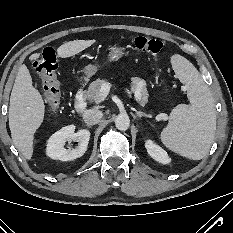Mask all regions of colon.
<instances>
[{"mask_svg": "<svg viewBox=\"0 0 233 233\" xmlns=\"http://www.w3.org/2000/svg\"><path fill=\"white\" fill-rule=\"evenodd\" d=\"M133 44L136 49L154 56L158 55L163 48L160 40L143 36L136 37ZM33 66L42 78L46 107L54 111L58 108L61 99L60 82L57 77L58 61L54 49L44 48L41 56L34 60Z\"/></svg>", "mask_w": 233, "mask_h": 233, "instance_id": "5ec220e1", "label": "colon"}]
</instances>
